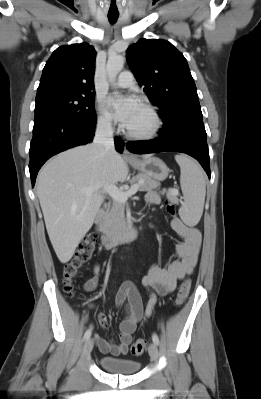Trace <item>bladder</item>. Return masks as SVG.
Masks as SVG:
<instances>
[{
    "label": "bladder",
    "instance_id": "1",
    "mask_svg": "<svg viewBox=\"0 0 261 399\" xmlns=\"http://www.w3.org/2000/svg\"><path fill=\"white\" fill-rule=\"evenodd\" d=\"M98 363L103 370L112 374L133 375L141 366L139 361L102 356Z\"/></svg>",
    "mask_w": 261,
    "mask_h": 399
}]
</instances>
